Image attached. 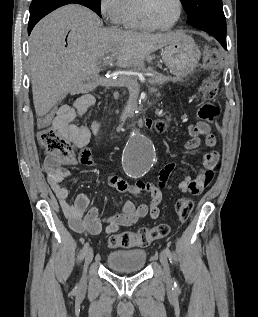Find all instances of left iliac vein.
<instances>
[{
	"label": "left iliac vein",
	"mask_w": 258,
	"mask_h": 317,
	"mask_svg": "<svg viewBox=\"0 0 258 317\" xmlns=\"http://www.w3.org/2000/svg\"><path fill=\"white\" fill-rule=\"evenodd\" d=\"M160 262H162V265H163V267H164V273H165V277L166 278H169L170 277V275H171V272L169 271V264H168V261H167V259H166V256H165V253H164V251L162 250L161 251V253H160Z\"/></svg>",
	"instance_id": "left-iliac-vein-1"
}]
</instances>
